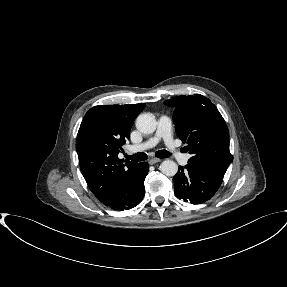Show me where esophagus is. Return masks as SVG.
Here are the masks:
<instances>
[{
    "instance_id": "1",
    "label": "esophagus",
    "mask_w": 287,
    "mask_h": 287,
    "mask_svg": "<svg viewBox=\"0 0 287 287\" xmlns=\"http://www.w3.org/2000/svg\"><path fill=\"white\" fill-rule=\"evenodd\" d=\"M159 162H161V159H159V158H152L149 160L150 165H154V164L159 163Z\"/></svg>"
}]
</instances>
